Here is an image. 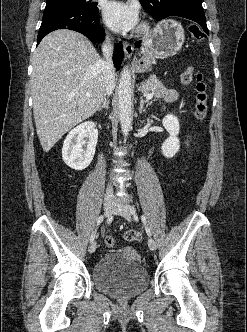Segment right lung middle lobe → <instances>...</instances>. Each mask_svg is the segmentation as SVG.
I'll use <instances>...</instances> for the list:
<instances>
[{
    "label": "right lung middle lobe",
    "mask_w": 247,
    "mask_h": 332,
    "mask_svg": "<svg viewBox=\"0 0 247 332\" xmlns=\"http://www.w3.org/2000/svg\"><path fill=\"white\" fill-rule=\"evenodd\" d=\"M54 7H75L87 11H95L98 9L94 6V3H91V0H46L45 9Z\"/></svg>",
    "instance_id": "right-lung-middle-lobe-1"
}]
</instances>
